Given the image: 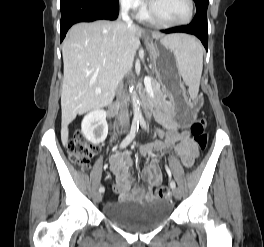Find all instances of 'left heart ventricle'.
<instances>
[{
    "mask_svg": "<svg viewBox=\"0 0 264 247\" xmlns=\"http://www.w3.org/2000/svg\"><path fill=\"white\" fill-rule=\"evenodd\" d=\"M158 16L167 21H181L188 15L187 0H151Z\"/></svg>",
    "mask_w": 264,
    "mask_h": 247,
    "instance_id": "left-heart-ventricle-1",
    "label": "left heart ventricle"
}]
</instances>
